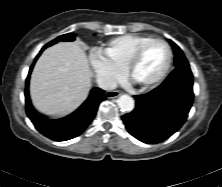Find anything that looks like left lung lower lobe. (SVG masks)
<instances>
[{"label": "left lung lower lobe", "mask_w": 222, "mask_h": 187, "mask_svg": "<svg viewBox=\"0 0 222 187\" xmlns=\"http://www.w3.org/2000/svg\"><path fill=\"white\" fill-rule=\"evenodd\" d=\"M134 98L135 108L122 116L128 132L147 144L168 139L185 123L193 103L190 67H176L157 88Z\"/></svg>", "instance_id": "0a47b994"}]
</instances>
